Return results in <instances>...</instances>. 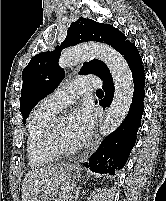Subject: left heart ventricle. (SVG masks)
<instances>
[{"mask_svg": "<svg viewBox=\"0 0 166 201\" xmlns=\"http://www.w3.org/2000/svg\"><path fill=\"white\" fill-rule=\"evenodd\" d=\"M57 135L60 143L66 148L76 147V143L69 132L68 121L65 118H59L57 121Z\"/></svg>", "mask_w": 166, "mask_h": 201, "instance_id": "left-heart-ventricle-1", "label": "left heart ventricle"}]
</instances>
